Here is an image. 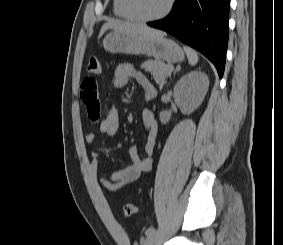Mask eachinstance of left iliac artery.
Wrapping results in <instances>:
<instances>
[{
    "instance_id": "obj_1",
    "label": "left iliac artery",
    "mask_w": 283,
    "mask_h": 245,
    "mask_svg": "<svg viewBox=\"0 0 283 245\" xmlns=\"http://www.w3.org/2000/svg\"><path fill=\"white\" fill-rule=\"evenodd\" d=\"M156 232L155 228L154 227H149L146 231H145V235L146 236H149L151 235L152 233Z\"/></svg>"
}]
</instances>
